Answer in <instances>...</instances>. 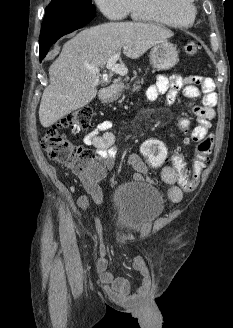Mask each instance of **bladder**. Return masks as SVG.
Instances as JSON below:
<instances>
[{"instance_id": "bladder-1", "label": "bladder", "mask_w": 233, "mask_h": 328, "mask_svg": "<svg viewBox=\"0 0 233 328\" xmlns=\"http://www.w3.org/2000/svg\"><path fill=\"white\" fill-rule=\"evenodd\" d=\"M111 202L119 226L126 230H137L154 222L165 208L160 191L143 182L120 184L113 190Z\"/></svg>"}]
</instances>
